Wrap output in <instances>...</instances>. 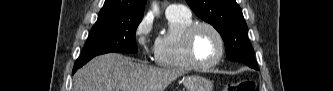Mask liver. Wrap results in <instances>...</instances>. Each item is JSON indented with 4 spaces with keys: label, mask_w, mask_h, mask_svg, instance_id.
<instances>
[{
    "label": "liver",
    "mask_w": 333,
    "mask_h": 91,
    "mask_svg": "<svg viewBox=\"0 0 333 91\" xmlns=\"http://www.w3.org/2000/svg\"><path fill=\"white\" fill-rule=\"evenodd\" d=\"M184 74L175 68H155L118 53L93 58L73 77V91H164Z\"/></svg>",
    "instance_id": "1"
}]
</instances>
